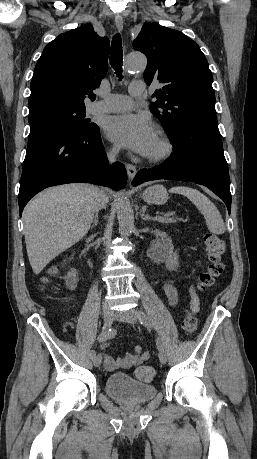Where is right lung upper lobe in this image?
Here are the masks:
<instances>
[{
    "label": "right lung upper lobe",
    "instance_id": "1",
    "mask_svg": "<svg viewBox=\"0 0 257 459\" xmlns=\"http://www.w3.org/2000/svg\"><path fill=\"white\" fill-rule=\"evenodd\" d=\"M109 39L91 24L60 34L43 50L31 81L30 111L53 106H84L108 69Z\"/></svg>",
    "mask_w": 257,
    "mask_h": 459
}]
</instances>
